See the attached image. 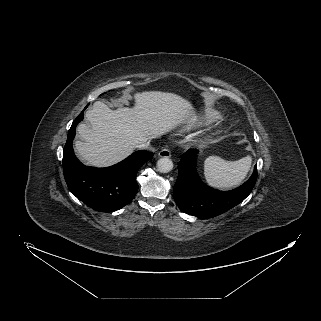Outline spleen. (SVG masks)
Masks as SVG:
<instances>
[{
    "mask_svg": "<svg viewBox=\"0 0 321 321\" xmlns=\"http://www.w3.org/2000/svg\"><path fill=\"white\" fill-rule=\"evenodd\" d=\"M251 163V156L237 161H226L218 156H210L204 162L205 179L214 188L235 187L245 179Z\"/></svg>",
    "mask_w": 321,
    "mask_h": 321,
    "instance_id": "3e777b00",
    "label": "spleen"
}]
</instances>
